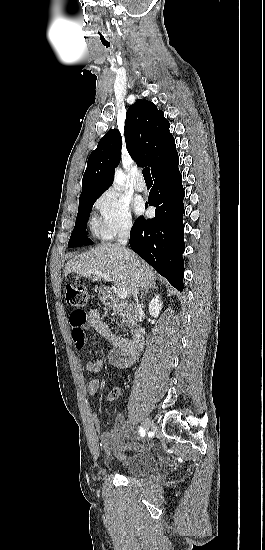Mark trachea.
<instances>
[{
    "mask_svg": "<svg viewBox=\"0 0 265 550\" xmlns=\"http://www.w3.org/2000/svg\"><path fill=\"white\" fill-rule=\"evenodd\" d=\"M142 173H143V176H144L145 180H152V177H151V174H150V169L148 167L144 168Z\"/></svg>",
    "mask_w": 265,
    "mask_h": 550,
    "instance_id": "obj_1",
    "label": "trachea"
}]
</instances>
